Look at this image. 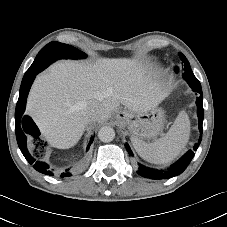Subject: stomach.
Listing matches in <instances>:
<instances>
[{
  "mask_svg": "<svg viewBox=\"0 0 227 227\" xmlns=\"http://www.w3.org/2000/svg\"><path fill=\"white\" fill-rule=\"evenodd\" d=\"M124 125L132 138L151 140L161 134L164 128L165 112L161 108H153L144 113L125 111Z\"/></svg>",
  "mask_w": 227,
  "mask_h": 227,
  "instance_id": "1",
  "label": "stomach"
}]
</instances>
